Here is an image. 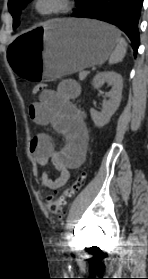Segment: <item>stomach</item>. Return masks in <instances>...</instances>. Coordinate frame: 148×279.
Returning a JSON list of instances; mask_svg holds the SVG:
<instances>
[{
  "label": "stomach",
  "mask_w": 148,
  "mask_h": 279,
  "mask_svg": "<svg viewBox=\"0 0 148 279\" xmlns=\"http://www.w3.org/2000/svg\"><path fill=\"white\" fill-rule=\"evenodd\" d=\"M119 33L109 24L56 19L19 34L8 44L7 59L16 82L55 79L104 63Z\"/></svg>",
  "instance_id": "obj_1"
}]
</instances>
